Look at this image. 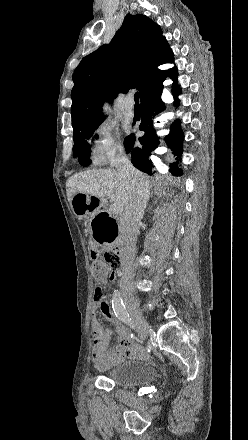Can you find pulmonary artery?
I'll return each mask as SVG.
<instances>
[{
    "label": "pulmonary artery",
    "instance_id": "1",
    "mask_svg": "<svg viewBox=\"0 0 248 440\" xmlns=\"http://www.w3.org/2000/svg\"><path fill=\"white\" fill-rule=\"evenodd\" d=\"M134 105H133V99L132 97H128L125 101V110H124V117L127 120H132L134 118Z\"/></svg>",
    "mask_w": 248,
    "mask_h": 440
}]
</instances>
